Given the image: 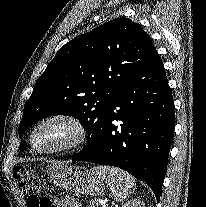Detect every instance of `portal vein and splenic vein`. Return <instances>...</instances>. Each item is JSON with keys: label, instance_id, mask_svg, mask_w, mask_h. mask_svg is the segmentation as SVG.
<instances>
[{"label": "portal vein and splenic vein", "instance_id": "portal-vein-and-splenic-vein-1", "mask_svg": "<svg viewBox=\"0 0 206 207\" xmlns=\"http://www.w3.org/2000/svg\"><path fill=\"white\" fill-rule=\"evenodd\" d=\"M100 203H101V205H102L103 207H105V202H102V201H101Z\"/></svg>", "mask_w": 206, "mask_h": 207}]
</instances>
